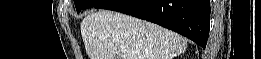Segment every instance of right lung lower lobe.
Here are the masks:
<instances>
[{
  "label": "right lung lower lobe",
  "mask_w": 261,
  "mask_h": 59,
  "mask_svg": "<svg viewBox=\"0 0 261 59\" xmlns=\"http://www.w3.org/2000/svg\"><path fill=\"white\" fill-rule=\"evenodd\" d=\"M94 7L159 24L206 47L210 26L209 0H103Z\"/></svg>",
  "instance_id": "right-lung-lower-lobe-1"
}]
</instances>
